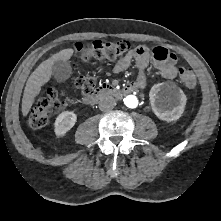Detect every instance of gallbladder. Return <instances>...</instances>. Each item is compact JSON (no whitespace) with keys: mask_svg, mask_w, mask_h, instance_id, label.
<instances>
[{"mask_svg":"<svg viewBox=\"0 0 221 221\" xmlns=\"http://www.w3.org/2000/svg\"><path fill=\"white\" fill-rule=\"evenodd\" d=\"M52 73L54 79L61 83L67 80L72 74V68L69 62L57 60L52 66Z\"/></svg>","mask_w":221,"mask_h":221,"instance_id":"bac80fb5","label":"gallbladder"}]
</instances>
